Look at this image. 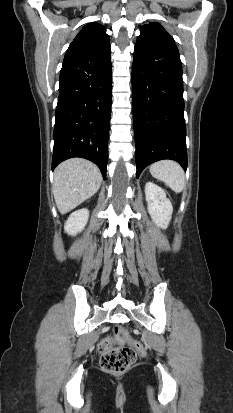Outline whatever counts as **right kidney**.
I'll return each instance as SVG.
<instances>
[{
    "instance_id": "obj_1",
    "label": "right kidney",
    "mask_w": 233,
    "mask_h": 413,
    "mask_svg": "<svg viewBox=\"0 0 233 413\" xmlns=\"http://www.w3.org/2000/svg\"><path fill=\"white\" fill-rule=\"evenodd\" d=\"M89 218V211L86 208L79 209L73 212L67 219L64 230L69 235L75 236L77 233L81 232Z\"/></svg>"
}]
</instances>
